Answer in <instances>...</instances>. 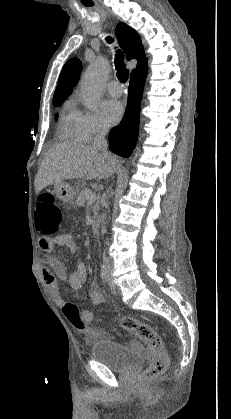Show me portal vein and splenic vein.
<instances>
[{"label": "portal vein and splenic vein", "instance_id": "18ae733b", "mask_svg": "<svg viewBox=\"0 0 231 419\" xmlns=\"http://www.w3.org/2000/svg\"><path fill=\"white\" fill-rule=\"evenodd\" d=\"M86 199L88 202H93L96 199V194L95 193H87L86 194Z\"/></svg>", "mask_w": 231, "mask_h": 419}]
</instances>
